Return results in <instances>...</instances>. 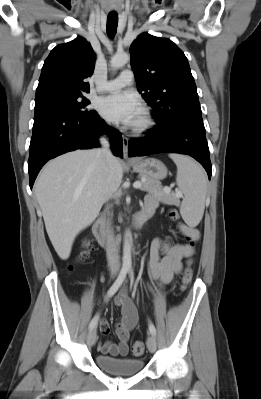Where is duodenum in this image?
Masks as SVG:
<instances>
[{
	"label": "duodenum",
	"instance_id": "410a0bca",
	"mask_svg": "<svg viewBox=\"0 0 261 399\" xmlns=\"http://www.w3.org/2000/svg\"><path fill=\"white\" fill-rule=\"evenodd\" d=\"M151 209H143L133 220V226L139 229L153 214ZM93 234L100 246L108 244V231L103 218L98 219L93 225Z\"/></svg>",
	"mask_w": 261,
	"mask_h": 399
}]
</instances>
